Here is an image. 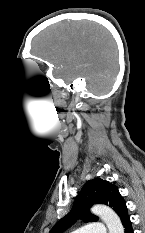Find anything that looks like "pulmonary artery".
Masks as SVG:
<instances>
[{"instance_id": "e3ab8cb5", "label": "pulmonary artery", "mask_w": 145, "mask_h": 233, "mask_svg": "<svg viewBox=\"0 0 145 233\" xmlns=\"http://www.w3.org/2000/svg\"><path fill=\"white\" fill-rule=\"evenodd\" d=\"M71 233H106L103 223H90L84 227L72 230Z\"/></svg>"}]
</instances>
